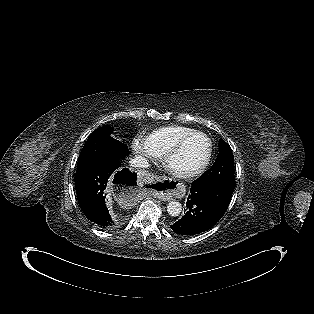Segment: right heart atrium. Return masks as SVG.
I'll use <instances>...</instances> for the list:
<instances>
[{
    "instance_id": "right-heart-atrium-1",
    "label": "right heart atrium",
    "mask_w": 314,
    "mask_h": 314,
    "mask_svg": "<svg viewBox=\"0 0 314 314\" xmlns=\"http://www.w3.org/2000/svg\"><path fill=\"white\" fill-rule=\"evenodd\" d=\"M131 147L136 154L145 159L157 160L160 158V156L151 150L148 142L146 141V138L141 135H137L133 138Z\"/></svg>"
}]
</instances>
